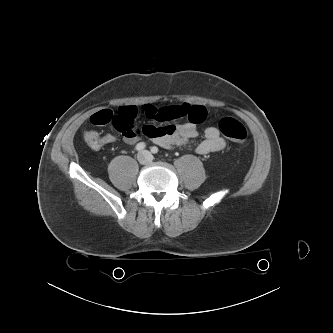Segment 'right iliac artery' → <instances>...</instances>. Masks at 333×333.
<instances>
[{
  "label": "right iliac artery",
  "instance_id": "1",
  "mask_svg": "<svg viewBox=\"0 0 333 333\" xmlns=\"http://www.w3.org/2000/svg\"><path fill=\"white\" fill-rule=\"evenodd\" d=\"M145 147H146V144H145L144 142H140V143H138V144L136 145L135 149H136L137 151H142V150L145 149Z\"/></svg>",
  "mask_w": 333,
  "mask_h": 333
}]
</instances>
